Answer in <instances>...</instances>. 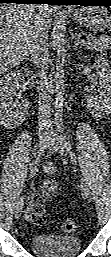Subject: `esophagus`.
<instances>
[{"instance_id": "esophagus-1", "label": "esophagus", "mask_w": 111, "mask_h": 257, "mask_svg": "<svg viewBox=\"0 0 111 257\" xmlns=\"http://www.w3.org/2000/svg\"><path fill=\"white\" fill-rule=\"evenodd\" d=\"M60 9L63 10V9H65V8L61 7Z\"/></svg>"}]
</instances>
